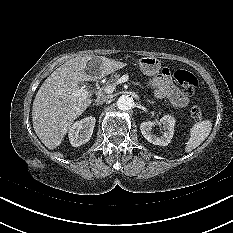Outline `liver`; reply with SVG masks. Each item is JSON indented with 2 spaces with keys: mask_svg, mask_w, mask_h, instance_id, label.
<instances>
[{
  "mask_svg": "<svg viewBox=\"0 0 233 233\" xmlns=\"http://www.w3.org/2000/svg\"><path fill=\"white\" fill-rule=\"evenodd\" d=\"M94 56H77L57 68L41 85L32 107L33 128L41 142L50 150L58 147L73 122L91 104V98L72 95L80 82L96 81L127 64L98 56L99 61L86 73L87 63Z\"/></svg>",
  "mask_w": 233,
  "mask_h": 233,
  "instance_id": "obj_1",
  "label": "liver"
}]
</instances>
